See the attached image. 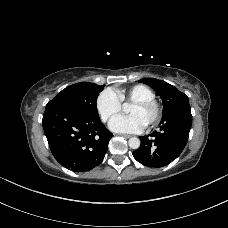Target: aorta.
<instances>
[{
	"label": "aorta",
	"mask_w": 228,
	"mask_h": 228,
	"mask_svg": "<svg viewBox=\"0 0 228 228\" xmlns=\"http://www.w3.org/2000/svg\"><path fill=\"white\" fill-rule=\"evenodd\" d=\"M140 144H141L140 139L137 137H132L128 141V145L132 149H138L140 147Z\"/></svg>",
	"instance_id": "aorta-1"
}]
</instances>
